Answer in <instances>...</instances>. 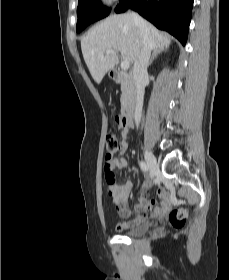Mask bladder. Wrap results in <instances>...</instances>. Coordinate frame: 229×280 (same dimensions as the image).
Instances as JSON below:
<instances>
[{"label":"bladder","instance_id":"bladder-1","mask_svg":"<svg viewBox=\"0 0 229 280\" xmlns=\"http://www.w3.org/2000/svg\"><path fill=\"white\" fill-rule=\"evenodd\" d=\"M151 227V221L148 219L140 220L137 225L123 230L121 233L128 236H139L147 233Z\"/></svg>","mask_w":229,"mask_h":280}]
</instances>
